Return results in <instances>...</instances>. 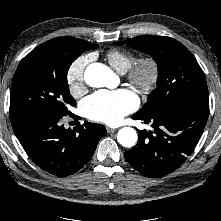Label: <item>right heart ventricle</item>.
Instances as JSON below:
<instances>
[{
    "mask_svg": "<svg viewBox=\"0 0 221 221\" xmlns=\"http://www.w3.org/2000/svg\"><path fill=\"white\" fill-rule=\"evenodd\" d=\"M109 64L118 72H126L135 61V55L125 49H111L106 53Z\"/></svg>",
    "mask_w": 221,
    "mask_h": 221,
    "instance_id": "e07e8e85",
    "label": "right heart ventricle"
}]
</instances>
